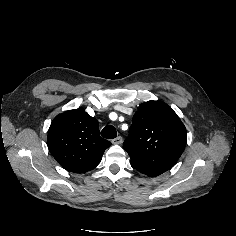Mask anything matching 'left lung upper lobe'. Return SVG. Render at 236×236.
Masks as SVG:
<instances>
[{"mask_svg":"<svg viewBox=\"0 0 236 236\" xmlns=\"http://www.w3.org/2000/svg\"><path fill=\"white\" fill-rule=\"evenodd\" d=\"M124 149L134 169L156 177L171 169L183 153L187 132L166 103L148 101L138 107Z\"/></svg>","mask_w":236,"mask_h":236,"instance_id":"5c2ea615","label":"left lung upper lobe"}]
</instances>
